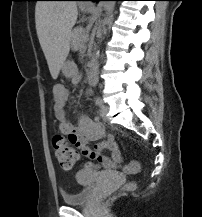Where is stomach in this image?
Wrapping results in <instances>:
<instances>
[{"label": "stomach", "instance_id": "1", "mask_svg": "<svg viewBox=\"0 0 202 217\" xmlns=\"http://www.w3.org/2000/svg\"><path fill=\"white\" fill-rule=\"evenodd\" d=\"M77 71V67L74 62L72 61H66L64 62L62 68H61V74L65 77H72L75 75Z\"/></svg>", "mask_w": 202, "mask_h": 217}]
</instances>
